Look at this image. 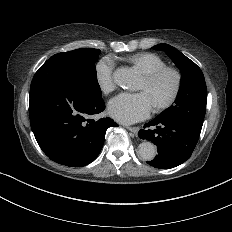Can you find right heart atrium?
Here are the masks:
<instances>
[{
	"instance_id": "d8ad5b80",
	"label": "right heart atrium",
	"mask_w": 232,
	"mask_h": 232,
	"mask_svg": "<svg viewBox=\"0 0 232 232\" xmlns=\"http://www.w3.org/2000/svg\"><path fill=\"white\" fill-rule=\"evenodd\" d=\"M114 70V61L111 57L101 58L95 67L96 81L103 92H110L115 88L112 81V72Z\"/></svg>"
}]
</instances>
